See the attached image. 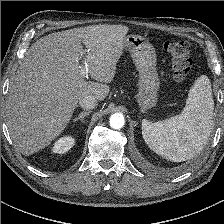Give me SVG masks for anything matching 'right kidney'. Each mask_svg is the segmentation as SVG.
Here are the masks:
<instances>
[{"instance_id":"ca27d5eb","label":"right kidney","mask_w":224,"mask_h":224,"mask_svg":"<svg viewBox=\"0 0 224 224\" xmlns=\"http://www.w3.org/2000/svg\"><path fill=\"white\" fill-rule=\"evenodd\" d=\"M74 143V138L71 136L62 137L54 143L52 152L60 154L66 153L73 147Z\"/></svg>"}]
</instances>
